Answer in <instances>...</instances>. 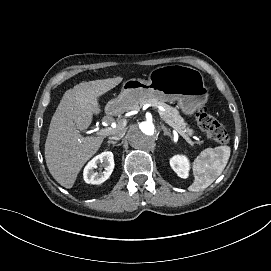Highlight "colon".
I'll return each mask as SVG.
<instances>
[{"mask_svg":"<svg viewBox=\"0 0 271 271\" xmlns=\"http://www.w3.org/2000/svg\"><path fill=\"white\" fill-rule=\"evenodd\" d=\"M195 120L208 139L220 144L228 142L229 136L226 128L210 115L205 107H201L196 111Z\"/></svg>","mask_w":271,"mask_h":271,"instance_id":"obj_1","label":"colon"}]
</instances>
